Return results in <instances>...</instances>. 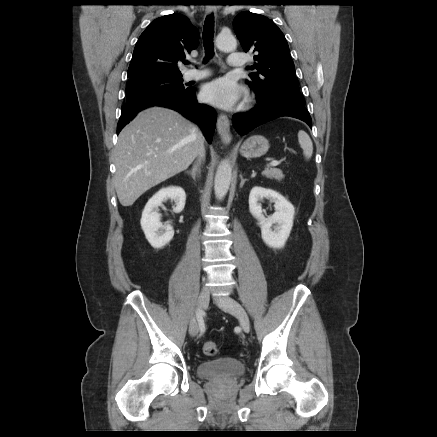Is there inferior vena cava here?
<instances>
[{"label": "inferior vena cava", "instance_id": "obj_1", "mask_svg": "<svg viewBox=\"0 0 437 437\" xmlns=\"http://www.w3.org/2000/svg\"><path fill=\"white\" fill-rule=\"evenodd\" d=\"M204 158H205V149L204 146L202 145L198 153V161L204 160Z\"/></svg>", "mask_w": 437, "mask_h": 437}]
</instances>
